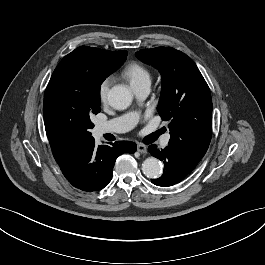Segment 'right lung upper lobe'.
I'll list each match as a JSON object with an SVG mask.
<instances>
[{
  "label": "right lung upper lobe",
  "mask_w": 265,
  "mask_h": 265,
  "mask_svg": "<svg viewBox=\"0 0 265 265\" xmlns=\"http://www.w3.org/2000/svg\"><path fill=\"white\" fill-rule=\"evenodd\" d=\"M104 51H106V50H104ZM107 52L115 53V52H122V51H114V52L107 51ZM80 144H77L75 146H72V147L66 148V149H59V148L54 147V146L51 145L52 153H53V156H54L55 160H60V159L64 158L71 151H73L76 147H78Z\"/></svg>",
  "instance_id": "right-lung-upper-lobe-1"
}]
</instances>
